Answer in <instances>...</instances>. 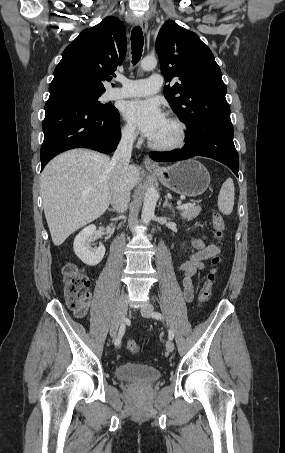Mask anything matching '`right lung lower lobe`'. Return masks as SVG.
<instances>
[{
  "instance_id": "obj_1",
  "label": "right lung lower lobe",
  "mask_w": 285,
  "mask_h": 453,
  "mask_svg": "<svg viewBox=\"0 0 285 453\" xmlns=\"http://www.w3.org/2000/svg\"><path fill=\"white\" fill-rule=\"evenodd\" d=\"M118 110L100 114L70 93L56 92L45 104L41 170L57 154L73 148L114 151L121 138Z\"/></svg>"
}]
</instances>
